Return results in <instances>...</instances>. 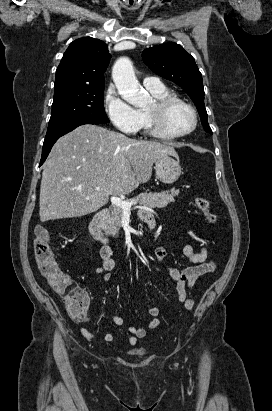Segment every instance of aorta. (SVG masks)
<instances>
[{"label":"aorta","instance_id":"obj_1","mask_svg":"<svg viewBox=\"0 0 272 411\" xmlns=\"http://www.w3.org/2000/svg\"><path fill=\"white\" fill-rule=\"evenodd\" d=\"M112 78L122 98L135 107L142 106L148 94L140 86L133 65L126 57L119 58L112 69Z\"/></svg>","mask_w":272,"mask_h":411}]
</instances>
